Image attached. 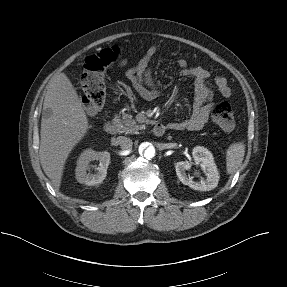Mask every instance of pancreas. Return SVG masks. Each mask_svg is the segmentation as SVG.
I'll use <instances>...</instances> for the list:
<instances>
[{"mask_svg": "<svg viewBox=\"0 0 287 287\" xmlns=\"http://www.w3.org/2000/svg\"><path fill=\"white\" fill-rule=\"evenodd\" d=\"M132 117L129 114H124L122 117L120 115L115 116L114 121L118 124L120 133L137 134L139 130L145 127L144 125H137Z\"/></svg>", "mask_w": 287, "mask_h": 287, "instance_id": "cf45deb5", "label": "pancreas"}]
</instances>
